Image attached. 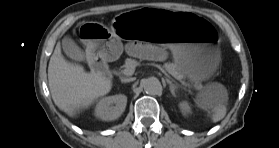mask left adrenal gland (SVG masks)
I'll return each mask as SVG.
<instances>
[{"mask_svg":"<svg viewBox=\"0 0 279 148\" xmlns=\"http://www.w3.org/2000/svg\"><path fill=\"white\" fill-rule=\"evenodd\" d=\"M167 83L170 85L171 94L176 97V86L169 79H167Z\"/></svg>","mask_w":279,"mask_h":148,"instance_id":"a2214340","label":"left adrenal gland"}]
</instances>
